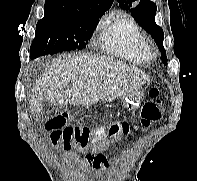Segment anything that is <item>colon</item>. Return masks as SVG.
<instances>
[{
	"mask_svg": "<svg viewBox=\"0 0 197 181\" xmlns=\"http://www.w3.org/2000/svg\"><path fill=\"white\" fill-rule=\"evenodd\" d=\"M148 94L150 101L142 107L139 124L120 122L92 128L68 126L66 125L68 115L61 114L49 120L45 125V129L54 145L61 143L66 150L75 146L82 151L90 149L99 152L108 145L110 140H114L132 130L137 131L140 127L147 128L161 118L163 106L160 99L159 85L151 87Z\"/></svg>",
	"mask_w": 197,
	"mask_h": 181,
	"instance_id": "5ec220e1",
	"label": "colon"
}]
</instances>
